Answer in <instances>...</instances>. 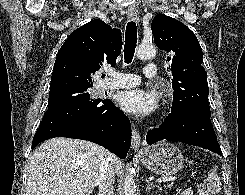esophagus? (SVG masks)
I'll return each instance as SVG.
<instances>
[{"mask_svg":"<svg viewBox=\"0 0 245 195\" xmlns=\"http://www.w3.org/2000/svg\"><path fill=\"white\" fill-rule=\"evenodd\" d=\"M128 19L130 21L139 22V12L135 7H129L128 9ZM141 143V137L138 130L133 126L132 128V149L137 152L139 151Z\"/></svg>","mask_w":245,"mask_h":195,"instance_id":"obj_1","label":"esophagus"}]
</instances>
